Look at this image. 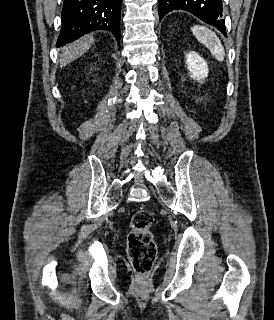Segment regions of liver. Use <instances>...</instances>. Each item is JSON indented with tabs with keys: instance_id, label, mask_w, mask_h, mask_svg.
I'll use <instances>...</instances> for the list:
<instances>
[{
	"instance_id": "liver-1",
	"label": "liver",
	"mask_w": 274,
	"mask_h": 320,
	"mask_svg": "<svg viewBox=\"0 0 274 320\" xmlns=\"http://www.w3.org/2000/svg\"><path fill=\"white\" fill-rule=\"evenodd\" d=\"M94 42L93 34H87V36L79 38V40H76L73 44L64 46V48H62V54H60L61 68L67 66L70 62H74V60H77L80 56H83L87 50H90Z\"/></svg>"
}]
</instances>
